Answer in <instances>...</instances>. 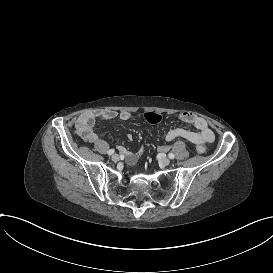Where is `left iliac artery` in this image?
<instances>
[{"label":"left iliac artery","mask_w":273,"mask_h":273,"mask_svg":"<svg viewBox=\"0 0 273 273\" xmlns=\"http://www.w3.org/2000/svg\"><path fill=\"white\" fill-rule=\"evenodd\" d=\"M168 157H169L170 159H174V158H175V155H174L173 153H169Z\"/></svg>","instance_id":"44dca946"}]
</instances>
